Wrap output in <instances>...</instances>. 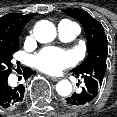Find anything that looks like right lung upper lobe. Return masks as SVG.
Instances as JSON below:
<instances>
[{
	"label": "right lung upper lobe",
	"instance_id": "cb5924a9",
	"mask_svg": "<svg viewBox=\"0 0 117 117\" xmlns=\"http://www.w3.org/2000/svg\"><path fill=\"white\" fill-rule=\"evenodd\" d=\"M33 16L34 14L21 15L10 13L0 17V43H18V37L23 27L33 18Z\"/></svg>",
	"mask_w": 117,
	"mask_h": 117
}]
</instances>
